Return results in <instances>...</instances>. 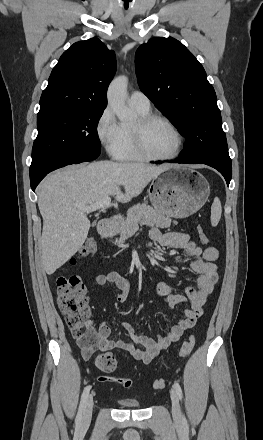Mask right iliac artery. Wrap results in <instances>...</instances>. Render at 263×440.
I'll list each match as a JSON object with an SVG mask.
<instances>
[{
    "label": "right iliac artery",
    "mask_w": 263,
    "mask_h": 440,
    "mask_svg": "<svg viewBox=\"0 0 263 440\" xmlns=\"http://www.w3.org/2000/svg\"><path fill=\"white\" fill-rule=\"evenodd\" d=\"M90 389H91V386H90V385L86 386V387L84 388V391H83L82 396H81V401H80V405H79V410H78V413H77V416H76V420H75L76 425H78V426H80V424H81L83 408H84L85 402H86V400H87V398H88V395H89Z\"/></svg>",
    "instance_id": "1"
}]
</instances>
